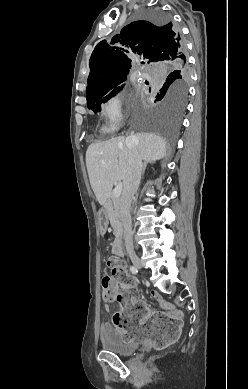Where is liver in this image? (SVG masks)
Masks as SVG:
<instances>
[{
    "label": "liver",
    "instance_id": "liver-1",
    "mask_svg": "<svg viewBox=\"0 0 248 389\" xmlns=\"http://www.w3.org/2000/svg\"><path fill=\"white\" fill-rule=\"evenodd\" d=\"M136 145L142 160L152 162L166 155L165 140L153 133H138L92 143L86 151V166L92 190L103 205L116 181L124 180L129 167V148L126 140Z\"/></svg>",
    "mask_w": 248,
    "mask_h": 389
}]
</instances>
